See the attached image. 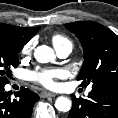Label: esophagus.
<instances>
[{
	"label": "esophagus",
	"instance_id": "obj_1",
	"mask_svg": "<svg viewBox=\"0 0 118 118\" xmlns=\"http://www.w3.org/2000/svg\"><path fill=\"white\" fill-rule=\"evenodd\" d=\"M40 96L43 98H47V97H55L56 94L48 91H43L41 92Z\"/></svg>",
	"mask_w": 118,
	"mask_h": 118
}]
</instances>
